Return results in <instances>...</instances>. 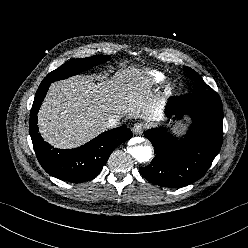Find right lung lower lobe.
<instances>
[{"label":"right lung lower lobe","instance_id":"right-lung-lower-lobe-1","mask_svg":"<svg viewBox=\"0 0 248 248\" xmlns=\"http://www.w3.org/2000/svg\"><path fill=\"white\" fill-rule=\"evenodd\" d=\"M50 84L41 82L30 112L29 131L37 159L48 174L58 179L72 183L89 181L99 174L112 151L130 139L132 133L123 125L100 134L79 148H52L42 139L37 127V112Z\"/></svg>","mask_w":248,"mask_h":248}]
</instances>
